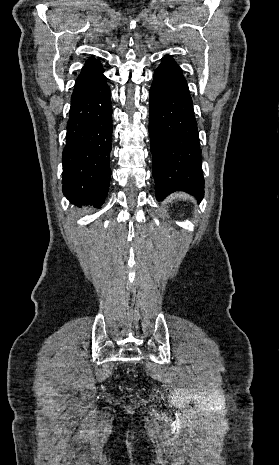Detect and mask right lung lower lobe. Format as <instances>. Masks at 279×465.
Here are the masks:
<instances>
[{"mask_svg":"<svg viewBox=\"0 0 279 465\" xmlns=\"http://www.w3.org/2000/svg\"><path fill=\"white\" fill-rule=\"evenodd\" d=\"M111 92L105 76L71 99L63 150L64 195L72 203L100 207L111 170Z\"/></svg>","mask_w":279,"mask_h":465,"instance_id":"1","label":"right lung lower lobe"}]
</instances>
